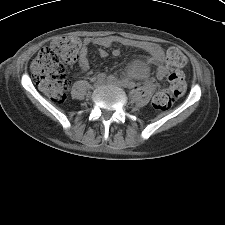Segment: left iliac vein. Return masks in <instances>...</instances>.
Listing matches in <instances>:
<instances>
[{
	"label": "left iliac vein",
	"mask_w": 225,
	"mask_h": 225,
	"mask_svg": "<svg viewBox=\"0 0 225 225\" xmlns=\"http://www.w3.org/2000/svg\"><path fill=\"white\" fill-rule=\"evenodd\" d=\"M105 83L116 86V87H119V88L124 86L121 81H119L116 78H111V77L108 78Z\"/></svg>",
	"instance_id": "obj_1"
}]
</instances>
